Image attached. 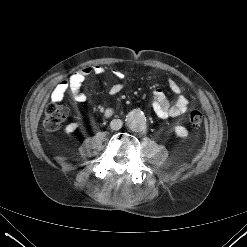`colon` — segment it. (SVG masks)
<instances>
[{
  "label": "colon",
  "mask_w": 247,
  "mask_h": 247,
  "mask_svg": "<svg viewBox=\"0 0 247 247\" xmlns=\"http://www.w3.org/2000/svg\"><path fill=\"white\" fill-rule=\"evenodd\" d=\"M69 108L51 102L45 107L44 127L48 132H55L69 115ZM188 121L193 129H197L202 125L203 114L200 110L194 109L188 115Z\"/></svg>",
  "instance_id": "5ec220e1"
}]
</instances>
